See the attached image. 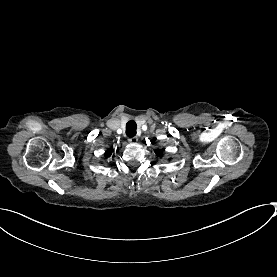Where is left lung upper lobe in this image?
<instances>
[{"label":"left lung upper lobe","mask_w":277,"mask_h":277,"mask_svg":"<svg viewBox=\"0 0 277 277\" xmlns=\"http://www.w3.org/2000/svg\"><path fill=\"white\" fill-rule=\"evenodd\" d=\"M155 152H156L157 156L162 157V155H163V151L162 150L157 149Z\"/></svg>","instance_id":"obj_1"}]
</instances>
